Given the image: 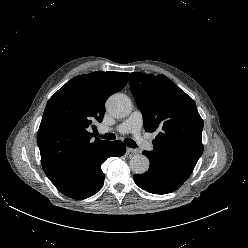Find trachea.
<instances>
[{
	"instance_id": "obj_1",
	"label": "trachea",
	"mask_w": 248,
	"mask_h": 248,
	"mask_svg": "<svg viewBox=\"0 0 248 248\" xmlns=\"http://www.w3.org/2000/svg\"><path fill=\"white\" fill-rule=\"evenodd\" d=\"M97 135L99 137H101L102 139H107V140H113L116 139V136L113 133H106L104 135H101L99 133H97ZM124 143L130 147V148H136L137 144L135 143V141H133L131 138H125L124 139Z\"/></svg>"
}]
</instances>
